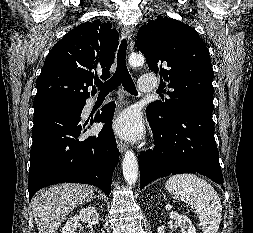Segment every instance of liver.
Returning <instances> with one entry per match:
<instances>
[{
	"instance_id": "liver-1",
	"label": "liver",
	"mask_w": 253,
	"mask_h": 233,
	"mask_svg": "<svg viewBox=\"0 0 253 233\" xmlns=\"http://www.w3.org/2000/svg\"><path fill=\"white\" fill-rule=\"evenodd\" d=\"M93 198V188L81 184H59L38 192L31 208L39 233H55L66 216Z\"/></svg>"
}]
</instances>
